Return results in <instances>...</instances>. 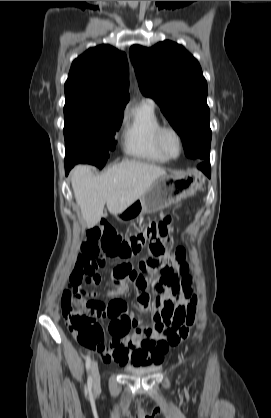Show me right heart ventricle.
Segmentation results:
<instances>
[{"mask_svg": "<svg viewBox=\"0 0 271 418\" xmlns=\"http://www.w3.org/2000/svg\"><path fill=\"white\" fill-rule=\"evenodd\" d=\"M160 126L153 104L142 102L136 106L125 121L122 134L124 152L136 159L165 163L168 159L155 143V133Z\"/></svg>", "mask_w": 271, "mask_h": 418, "instance_id": "right-heart-ventricle-1", "label": "right heart ventricle"}]
</instances>
